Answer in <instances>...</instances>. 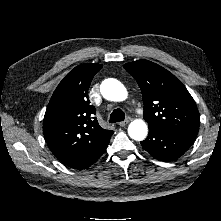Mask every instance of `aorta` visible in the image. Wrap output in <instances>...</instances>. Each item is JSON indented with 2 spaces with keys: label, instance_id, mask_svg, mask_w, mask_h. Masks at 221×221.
<instances>
[{
  "label": "aorta",
  "instance_id": "1",
  "mask_svg": "<svg viewBox=\"0 0 221 221\" xmlns=\"http://www.w3.org/2000/svg\"><path fill=\"white\" fill-rule=\"evenodd\" d=\"M100 92L105 99L114 102L124 101L128 96L125 86L116 79L104 80L101 83ZM128 134L136 141L144 140L148 134L146 122L142 119L132 121L128 127Z\"/></svg>",
  "mask_w": 221,
  "mask_h": 221
}]
</instances>
